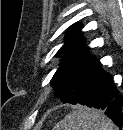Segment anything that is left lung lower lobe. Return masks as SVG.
<instances>
[{
    "label": "left lung lower lobe",
    "mask_w": 123,
    "mask_h": 130,
    "mask_svg": "<svg viewBox=\"0 0 123 130\" xmlns=\"http://www.w3.org/2000/svg\"><path fill=\"white\" fill-rule=\"evenodd\" d=\"M122 101L123 97L115 87L112 76L102 71L101 63L97 62L76 104L104 110L122 128Z\"/></svg>",
    "instance_id": "left-lung-lower-lobe-1"
}]
</instances>
